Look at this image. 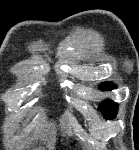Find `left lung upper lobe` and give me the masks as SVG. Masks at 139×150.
I'll use <instances>...</instances> for the list:
<instances>
[{
    "mask_svg": "<svg viewBox=\"0 0 139 150\" xmlns=\"http://www.w3.org/2000/svg\"><path fill=\"white\" fill-rule=\"evenodd\" d=\"M114 88L115 85L108 82L102 83L100 85V89L106 91L112 90ZM98 110L103 113L105 118L113 119L116 116L118 110V104L113 102L112 100L107 99L99 105Z\"/></svg>",
    "mask_w": 139,
    "mask_h": 150,
    "instance_id": "5c2ea615",
    "label": "left lung upper lobe"
}]
</instances>
